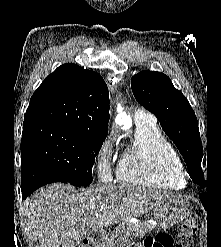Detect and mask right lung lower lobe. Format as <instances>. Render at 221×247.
Wrapping results in <instances>:
<instances>
[{
  "instance_id": "1",
  "label": "right lung lower lobe",
  "mask_w": 221,
  "mask_h": 247,
  "mask_svg": "<svg viewBox=\"0 0 221 247\" xmlns=\"http://www.w3.org/2000/svg\"><path fill=\"white\" fill-rule=\"evenodd\" d=\"M54 182L68 183L40 163L29 159L22 160L21 188L23 199H26L39 187Z\"/></svg>"
}]
</instances>
